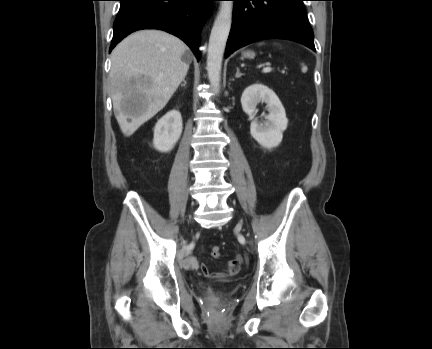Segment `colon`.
<instances>
[{
  "label": "colon",
  "mask_w": 432,
  "mask_h": 349,
  "mask_svg": "<svg viewBox=\"0 0 432 349\" xmlns=\"http://www.w3.org/2000/svg\"><path fill=\"white\" fill-rule=\"evenodd\" d=\"M211 256L213 258H219L221 256V249L218 246H213L211 248Z\"/></svg>",
  "instance_id": "1"
}]
</instances>
